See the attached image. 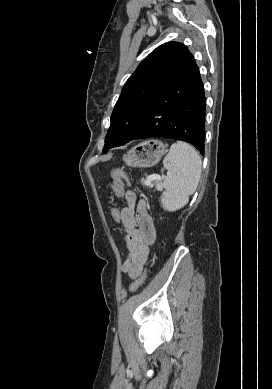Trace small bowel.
<instances>
[{"label":"small bowel","instance_id":"c3829d8e","mask_svg":"<svg viewBox=\"0 0 272 389\" xmlns=\"http://www.w3.org/2000/svg\"><path fill=\"white\" fill-rule=\"evenodd\" d=\"M126 206L121 210V224L125 230V243L129 251L123 272L137 278L149 255L156 236L153 220L143 200L132 191L125 193Z\"/></svg>","mask_w":272,"mask_h":389}]
</instances>
